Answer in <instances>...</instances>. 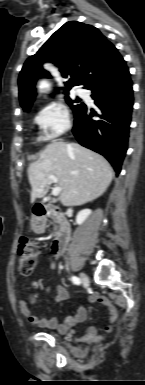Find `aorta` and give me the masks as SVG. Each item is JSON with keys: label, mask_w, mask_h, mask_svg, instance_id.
Returning <instances> with one entry per match:
<instances>
[{"label": "aorta", "mask_w": 145, "mask_h": 385, "mask_svg": "<svg viewBox=\"0 0 145 385\" xmlns=\"http://www.w3.org/2000/svg\"><path fill=\"white\" fill-rule=\"evenodd\" d=\"M48 86H49L48 82H46V81H41V82H40V85H39V88H40V89H46V88H48Z\"/></svg>", "instance_id": "762f6f07"}]
</instances>
